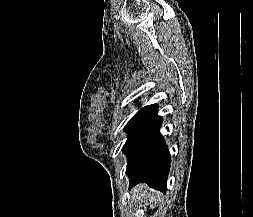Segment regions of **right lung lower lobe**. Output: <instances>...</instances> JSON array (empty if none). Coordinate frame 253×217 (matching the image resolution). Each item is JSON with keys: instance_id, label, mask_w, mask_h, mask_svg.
Returning <instances> with one entry per match:
<instances>
[{"instance_id": "right-lung-lower-lobe-1", "label": "right lung lower lobe", "mask_w": 253, "mask_h": 217, "mask_svg": "<svg viewBox=\"0 0 253 217\" xmlns=\"http://www.w3.org/2000/svg\"><path fill=\"white\" fill-rule=\"evenodd\" d=\"M157 108L156 104L151 105L128 131L122 151L128 157L126 173L130 188L145 182L155 189H167L170 154L159 133L162 117L157 115Z\"/></svg>"}]
</instances>
